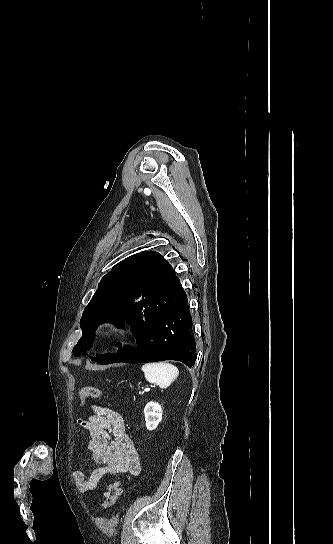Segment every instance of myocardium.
I'll return each instance as SVG.
<instances>
[{
	"label": "myocardium",
	"instance_id": "f54148a6",
	"mask_svg": "<svg viewBox=\"0 0 333 544\" xmlns=\"http://www.w3.org/2000/svg\"><path fill=\"white\" fill-rule=\"evenodd\" d=\"M110 324L107 322V321H102L100 323H98L94 329V333L99 336V337H102V336H105L109 333L110 331Z\"/></svg>",
	"mask_w": 333,
	"mask_h": 544
}]
</instances>
